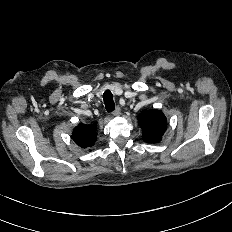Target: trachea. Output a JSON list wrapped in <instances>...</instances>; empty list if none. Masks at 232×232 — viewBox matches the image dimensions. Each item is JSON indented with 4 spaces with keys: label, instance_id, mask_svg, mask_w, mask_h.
Masks as SVG:
<instances>
[{
    "label": "trachea",
    "instance_id": "trachea-1",
    "mask_svg": "<svg viewBox=\"0 0 232 232\" xmlns=\"http://www.w3.org/2000/svg\"><path fill=\"white\" fill-rule=\"evenodd\" d=\"M103 100H104L106 110L108 112H112L115 109V104L113 100V94L109 90L104 92Z\"/></svg>",
    "mask_w": 232,
    "mask_h": 232
}]
</instances>
